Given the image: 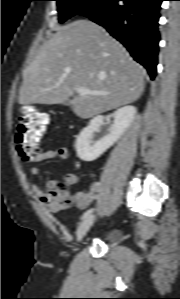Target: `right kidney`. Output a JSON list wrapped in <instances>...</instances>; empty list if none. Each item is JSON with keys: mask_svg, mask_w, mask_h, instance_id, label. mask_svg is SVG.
Returning <instances> with one entry per match:
<instances>
[{"mask_svg": "<svg viewBox=\"0 0 180 299\" xmlns=\"http://www.w3.org/2000/svg\"><path fill=\"white\" fill-rule=\"evenodd\" d=\"M135 114L136 108L131 105L115 111L114 123L110 132L98 141H92L91 137L104 124V117L101 115L94 117L77 137L75 147L78 157L86 162L94 161L100 157L125 133L133 122Z\"/></svg>", "mask_w": 180, "mask_h": 299, "instance_id": "ca27d5eb", "label": "right kidney"}]
</instances>
